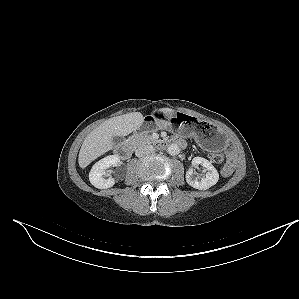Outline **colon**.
Segmentation results:
<instances>
[{"instance_id":"obj_1","label":"colon","mask_w":299,"mask_h":299,"mask_svg":"<svg viewBox=\"0 0 299 299\" xmlns=\"http://www.w3.org/2000/svg\"><path fill=\"white\" fill-rule=\"evenodd\" d=\"M211 158L212 160L217 163V164H222L224 161V156L222 153L220 152H215L211 154ZM233 171V164L232 163H227L224 167H223V174L224 175H230Z\"/></svg>"}]
</instances>
